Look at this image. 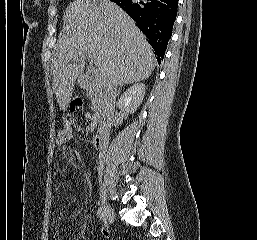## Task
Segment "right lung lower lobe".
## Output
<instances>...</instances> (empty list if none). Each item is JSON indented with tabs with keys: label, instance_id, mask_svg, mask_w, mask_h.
I'll return each instance as SVG.
<instances>
[{
	"label": "right lung lower lobe",
	"instance_id": "1",
	"mask_svg": "<svg viewBox=\"0 0 257 240\" xmlns=\"http://www.w3.org/2000/svg\"><path fill=\"white\" fill-rule=\"evenodd\" d=\"M123 8L149 39L160 64L172 35L178 0H111Z\"/></svg>",
	"mask_w": 257,
	"mask_h": 240
}]
</instances>
